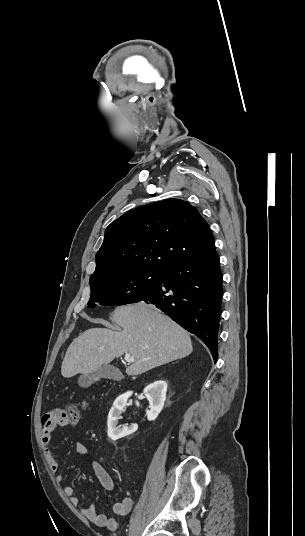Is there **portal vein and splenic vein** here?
Wrapping results in <instances>:
<instances>
[{"mask_svg":"<svg viewBox=\"0 0 305 536\" xmlns=\"http://www.w3.org/2000/svg\"><path fill=\"white\" fill-rule=\"evenodd\" d=\"M124 360H125V362H135L134 358H132V356H130V354H125Z\"/></svg>","mask_w":305,"mask_h":536,"instance_id":"1","label":"portal vein and splenic vein"}]
</instances>
